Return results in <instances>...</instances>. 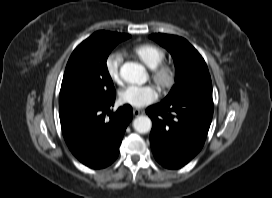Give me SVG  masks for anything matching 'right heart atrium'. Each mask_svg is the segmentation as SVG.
<instances>
[{
    "mask_svg": "<svg viewBox=\"0 0 272 198\" xmlns=\"http://www.w3.org/2000/svg\"><path fill=\"white\" fill-rule=\"evenodd\" d=\"M123 60L121 52H111L105 60V70L111 81L120 82V67Z\"/></svg>",
    "mask_w": 272,
    "mask_h": 198,
    "instance_id": "1",
    "label": "right heart atrium"
}]
</instances>
